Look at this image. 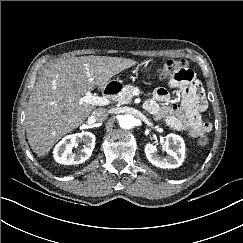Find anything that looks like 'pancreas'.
Here are the masks:
<instances>
[{
	"mask_svg": "<svg viewBox=\"0 0 243 243\" xmlns=\"http://www.w3.org/2000/svg\"><path fill=\"white\" fill-rule=\"evenodd\" d=\"M135 90V87L132 85H125L123 90L114 97L115 101L119 104H128L132 101L133 98V91Z\"/></svg>",
	"mask_w": 243,
	"mask_h": 243,
	"instance_id": "1",
	"label": "pancreas"
}]
</instances>
